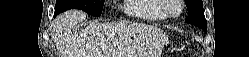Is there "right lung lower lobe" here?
<instances>
[{
    "label": "right lung lower lobe",
    "instance_id": "obj_1",
    "mask_svg": "<svg viewBox=\"0 0 249 57\" xmlns=\"http://www.w3.org/2000/svg\"><path fill=\"white\" fill-rule=\"evenodd\" d=\"M59 13H61V12L55 10L54 17H55L56 15H58Z\"/></svg>",
    "mask_w": 249,
    "mask_h": 57
}]
</instances>
